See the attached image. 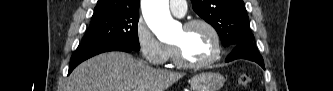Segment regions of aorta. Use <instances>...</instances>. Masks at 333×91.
Returning a JSON list of instances; mask_svg holds the SVG:
<instances>
[{
  "label": "aorta",
  "mask_w": 333,
  "mask_h": 91,
  "mask_svg": "<svg viewBox=\"0 0 333 91\" xmlns=\"http://www.w3.org/2000/svg\"><path fill=\"white\" fill-rule=\"evenodd\" d=\"M143 17L162 42H167L177 34L178 24L171 17L168 0H142Z\"/></svg>",
  "instance_id": "762f6f07"
}]
</instances>
